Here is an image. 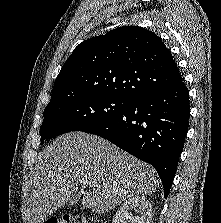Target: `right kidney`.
<instances>
[{
  "mask_svg": "<svg viewBox=\"0 0 221 223\" xmlns=\"http://www.w3.org/2000/svg\"><path fill=\"white\" fill-rule=\"evenodd\" d=\"M131 209H136L140 216H133ZM152 206L144 196H134L126 200L117 210L113 223H151Z\"/></svg>",
  "mask_w": 221,
  "mask_h": 223,
  "instance_id": "right-kidney-1",
  "label": "right kidney"
}]
</instances>
